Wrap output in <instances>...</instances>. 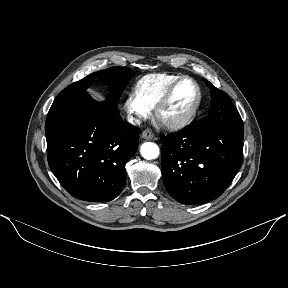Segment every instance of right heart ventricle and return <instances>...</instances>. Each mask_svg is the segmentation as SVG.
Wrapping results in <instances>:
<instances>
[{"mask_svg":"<svg viewBox=\"0 0 288 288\" xmlns=\"http://www.w3.org/2000/svg\"><path fill=\"white\" fill-rule=\"evenodd\" d=\"M179 77L176 74L147 75L136 83L135 93L146 106L153 109L169 86Z\"/></svg>","mask_w":288,"mask_h":288,"instance_id":"obj_1","label":"right heart ventricle"}]
</instances>
